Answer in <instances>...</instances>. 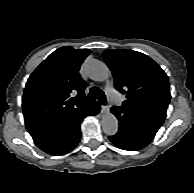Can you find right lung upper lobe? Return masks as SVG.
I'll list each match as a JSON object with an SVG mask.
<instances>
[{"label":"right lung upper lobe","mask_w":194,"mask_h":193,"mask_svg":"<svg viewBox=\"0 0 194 193\" xmlns=\"http://www.w3.org/2000/svg\"><path fill=\"white\" fill-rule=\"evenodd\" d=\"M88 49L65 46L46 58L29 77L22 106L26 128L63 119L93 103L84 94L78 73Z\"/></svg>","instance_id":"cb5924a9"}]
</instances>
